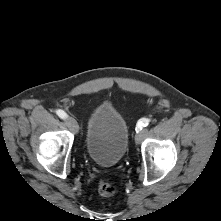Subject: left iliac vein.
<instances>
[{
	"mask_svg": "<svg viewBox=\"0 0 221 221\" xmlns=\"http://www.w3.org/2000/svg\"><path fill=\"white\" fill-rule=\"evenodd\" d=\"M144 133H145V130H142V131L139 130V132L135 135V141H136V143L139 144V143L141 142Z\"/></svg>",
	"mask_w": 221,
	"mask_h": 221,
	"instance_id": "4c4485c4",
	"label": "left iliac vein"
}]
</instances>
